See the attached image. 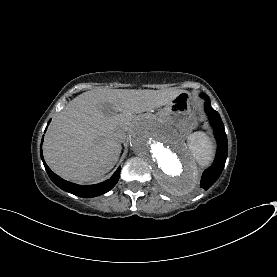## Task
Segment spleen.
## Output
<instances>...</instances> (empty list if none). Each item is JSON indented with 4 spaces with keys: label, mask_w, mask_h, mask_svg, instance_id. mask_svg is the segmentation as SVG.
Segmentation results:
<instances>
[{
    "label": "spleen",
    "mask_w": 277,
    "mask_h": 277,
    "mask_svg": "<svg viewBox=\"0 0 277 277\" xmlns=\"http://www.w3.org/2000/svg\"><path fill=\"white\" fill-rule=\"evenodd\" d=\"M188 148L201 166L209 165L213 156V145L204 132H194L188 137Z\"/></svg>",
    "instance_id": "3e777b00"
}]
</instances>
